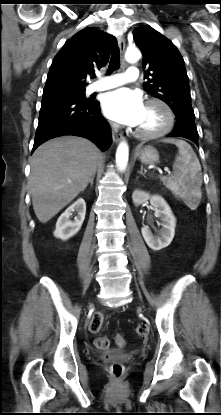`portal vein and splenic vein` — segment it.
<instances>
[{"label":"portal vein and splenic vein","instance_id":"portal-vein-and-splenic-vein-1","mask_svg":"<svg viewBox=\"0 0 221 415\" xmlns=\"http://www.w3.org/2000/svg\"><path fill=\"white\" fill-rule=\"evenodd\" d=\"M165 171H166L168 174H170V171H169L168 169H165Z\"/></svg>","mask_w":221,"mask_h":415}]
</instances>
